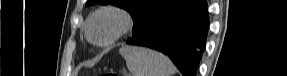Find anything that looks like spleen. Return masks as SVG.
I'll return each mask as SVG.
<instances>
[{
    "label": "spleen",
    "mask_w": 287,
    "mask_h": 76,
    "mask_svg": "<svg viewBox=\"0 0 287 76\" xmlns=\"http://www.w3.org/2000/svg\"><path fill=\"white\" fill-rule=\"evenodd\" d=\"M132 76H173L175 67L165 55L144 47L125 46L119 50Z\"/></svg>",
    "instance_id": "3e777b00"
}]
</instances>
